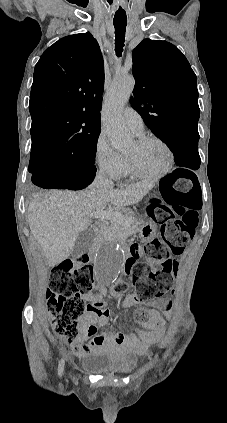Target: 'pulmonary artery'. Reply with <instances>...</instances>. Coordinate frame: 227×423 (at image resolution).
Here are the masks:
<instances>
[{"label": "pulmonary artery", "mask_w": 227, "mask_h": 423, "mask_svg": "<svg viewBox=\"0 0 227 423\" xmlns=\"http://www.w3.org/2000/svg\"><path fill=\"white\" fill-rule=\"evenodd\" d=\"M123 120L126 126L136 135L140 136L144 132L142 117L132 108L127 107L123 112Z\"/></svg>", "instance_id": "obj_1"}]
</instances>
